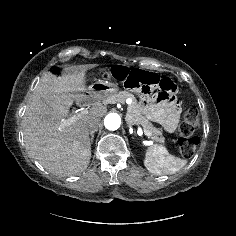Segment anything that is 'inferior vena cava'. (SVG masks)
<instances>
[{
    "label": "inferior vena cava",
    "mask_w": 236,
    "mask_h": 236,
    "mask_svg": "<svg viewBox=\"0 0 236 236\" xmlns=\"http://www.w3.org/2000/svg\"><path fill=\"white\" fill-rule=\"evenodd\" d=\"M100 126V119L99 118H93L88 120L87 127L92 130H97Z\"/></svg>",
    "instance_id": "1"
}]
</instances>
